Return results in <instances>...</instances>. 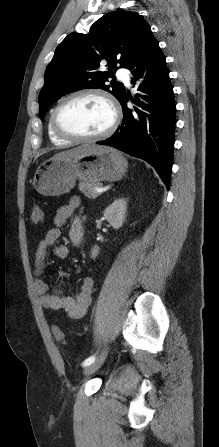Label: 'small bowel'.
Listing matches in <instances>:
<instances>
[{
	"label": "small bowel",
	"mask_w": 219,
	"mask_h": 447,
	"mask_svg": "<svg viewBox=\"0 0 219 447\" xmlns=\"http://www.w3.org/2000/svg\"><path fill=\"white\" fill-rule=\"evenodd\" d=\"M81 206V199L78 196H72L68 203L60 207L54 216L55 228L50 229L39 241L35 253V274L37 278L33 282L35 293L40 305L44 308L64 311L71 319H80L84 317L91 303V294L94 287V279L91 276H85L80 283L79 290L73 297L63 296L59 289L49 292L48 285L39 276L45 269V258L47 250L53 249L54 255L61 260L69 256V248L64 244H56L61 235L60 227L63 226L73 212ZM73 233L80 238L82 235V226L79 220L73 224Z\"/></svg>",
	"instance_id": "1"
}]
</instances>
